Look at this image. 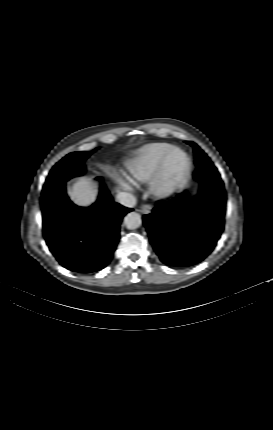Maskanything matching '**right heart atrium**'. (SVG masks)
Segmentation results:
<instances>
[{
	"label": "right heart atrium",
	"instance_id": "right-heart-atrium-1",
	"mask_svg": "<svg viewBox=\"0 0 273 430\" xmlns=\"http://www.w3.org/2000/svg\"><path fill=\"white\" fill-rule=\"evenodd\" d=\"M121 185H122L124 188H126V189H129V188H130V184H129V182H128L127 180L122 179V180H121Z\"/></svg>",
	"mask_w": 273,
	"mask_h": 430
}]
</instances>
